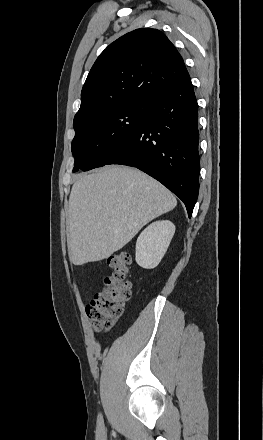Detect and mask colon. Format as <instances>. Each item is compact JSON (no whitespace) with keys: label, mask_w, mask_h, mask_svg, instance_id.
Wrapping results in <instances>:
<instances>
[{"label":"colon","mask_w":263,"mask_h":440,"mask_svg":"<svg viewBox=\"0 0 263 440\" xmlns=\"http://www.w3.org/2000/svg\"><path fill=\"white\" fill-rule=\"evenodd\" d=\"M130 264L131 258L125 253L114 254L108 260L111 274L103 278L102 290L95 294L86 309L92 327L98 332L111 330L123 314L131 292Z\"/></svg>","instance_id":"5ec220e1"}]
</instances>
